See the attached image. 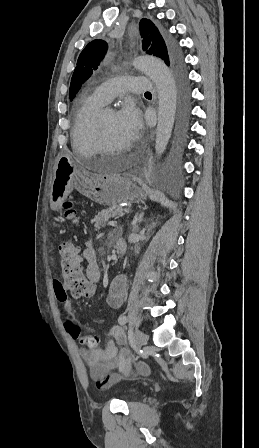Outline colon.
I'll return each instance as SVG.
<instances>
[{
  "instance_id": "colon-1",
  "label": "colon",
  "mask_w": 259,
  "mask_h": 448,
  "mask_svg": "<svg viewBox=\"0 0 259 448\" xmlns=\"http://www.w3.org/2000/svg\"><path fill=\"white\" fill-rule=\"evenodd\" d=\"M77 210L72 200L65 203V216L71 221L76 220ZM59 265L65 290L76 297H90L94 294V287L84 274L83 259L78 247L69 240L59 244ZM99 338L95 333L83 336L81 344L88 348H97Z\"/></svg>"
}]
</instances>
